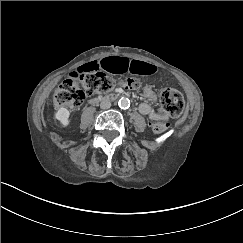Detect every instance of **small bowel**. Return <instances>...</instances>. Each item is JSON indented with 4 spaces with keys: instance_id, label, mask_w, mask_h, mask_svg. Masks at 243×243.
Masks as SVG:
<instances>
[{
    "instance_id": "c3829d8e",
    "label": "small bowel",
    "mask_w": 243,
    "mask_h": 243,
    "mask_svg": "<svg viewBox=\"0 0 243 243\" xmlns=\"http://www.w3.org/2000/svg\"><path fill=\"white\" fill-rule=\"evenodd\" d=\"M96 71H107L112 74L129 72L137 75H150L156 72V67L153 64L126 57H108L81 65L77 73ZM143 96L148 101H154L156 99L155 93L150 88H145ZM139 110L151 120L162 119L164 115L161 109L152 107L148 102L141 103Z\"/></svg>"
}]
</instances>
